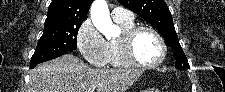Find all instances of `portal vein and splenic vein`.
I'll use <instances>...</instances> for the list:
<instances>
[{
	"mask_svg": "<svg viewBox=\"0 0 225 92\" xmlns=\"http://www.w3.org/2000/svg\"><path fill=\"white\" fill-rule=\"evenodd\" d=\"M96 86H91L87 89V92H93L95 90Z\"/></svg>",
	"mask_w": 225,
	"mask_h": 92,
	"instance_id": "obj_1",
	"label": "portal vein and splenic vein"
}]
</instances>
